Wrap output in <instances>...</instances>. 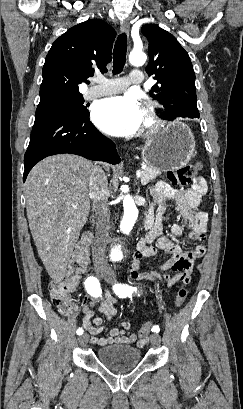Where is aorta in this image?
Returning a JSON list of instances; mask_svg holds the SVG:
<instances>
[{
  "mask_svg": "<svg viewBox=\"0 0 243 409\" xmlns=\"http://www.w3.org/2000/svg\"><path fill=\"white\" fill-rule=\"evenodd\" d=\"M129 61L132 65L141 66L146 62V55L142 51H132L129 56ZM122 192L126 193L125 187L122 188ZM123 208L124 215L120 227L123 232L129 233L138 217V208L129 194L123 195ZM115 251L121 253L119 248Z\"/></svg>",
  "mask_w": 243,
  "mask_h": 409,
  "instance_id": "aorta-1",
  "label": "aorta"
}]
</instances>
